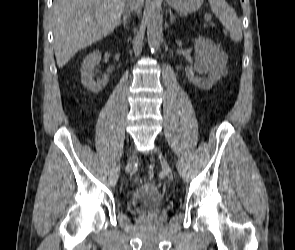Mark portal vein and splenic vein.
<instances>
[{
  "label": "portal vein and splenic vein",
  "mask_w": 295,
  "mask_h": 250,
  "mask_svg": "<svg viewBox=\"0 0 295 250\" xmlns=\"http://www.w3.org/2000/svg\"><path fill=\"white\" fill-rule=\"evenodd\" d=\"M205 20L210 21L211 20V15H205Z\"/></svg>",
  "instance_id": "18ae733b"
}]
</instances>
